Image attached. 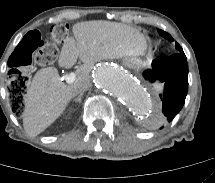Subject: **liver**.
Masks as SVG:
<instances>
[{"label":"liver","mask_w":215,"mask_h":183,"mask_svg":"<svg viewBox=\"0 0 215 183\" xmlns=\"http://www.w3.org/2000/svg\"><path fill=\"white\" fill-rule=\"evenodd\" d=\"M72 31L74 38L64 40L58 64L69 69L80 59L84 64L76 71V81L89 79L94 63L100 60L137 57L147 49L144 35L122 23L86 21L75 24ZM74 83L65 85L55 67L36 72L26 93L23 112V126L28 134L39 135L63 113L76 95Z\"/></svg>","instance_id":"liver-1"}]
</instances>
